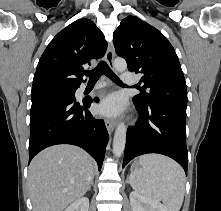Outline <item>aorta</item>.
Masks as SVG:
<instances>
[{"mask_svg": "<svg viewBox=\"0 0 221 211\" xmlns=\"http://www.w3.org/2000/svg\"><path fill=\"white\" fill-rule=\"evenodd\" d=\"M114 67L118 72H123L127 69V63L124 59L117 58L114 61ZM126 131L124 122H120L116 127L113 139V154L117 158L123 154L126 143Z\"/></svg>", "mask_w": 221, "mask_h": 211, "instance_id": "obj_1", "label": "aorta"}]
</instances>
